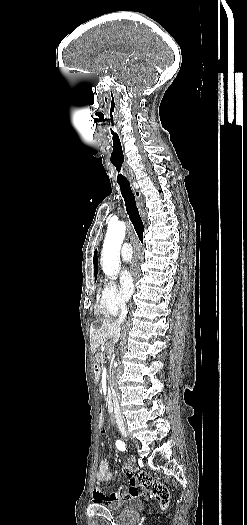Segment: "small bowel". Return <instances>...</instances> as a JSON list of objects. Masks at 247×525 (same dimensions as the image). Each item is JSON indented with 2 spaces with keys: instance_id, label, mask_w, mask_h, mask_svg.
Masks as SVG:
<instances>
[{
  "instance_id": "1",
  "label": "small bowel",
  "mask_w": 247,
  "mask_h": 525,
  "mask_svg": "<svg viewBox=\"0 0 247 525\" xmlns=\"http://www.w3.org/2000/svg\"><path fill=\"white\" fill-rule=\"evenodd\" d=\"M104 430V428H101ZM122 474H129V469H122ZM113 478L112 473L109 471V460L104 458L100 461L98 472L96 474L97 489L94 491V501L97 506H118L120 499H124L125 496L120 493L106 494L100 489V485L111 481ZM129 479L131 484L128 487L129 494L132 497H136L139 494V488L142 487L143 482L149 492L154 493L155 501L159 508H164L169 505L171 500L169 489L162 487L158 481L150 480L151 476L149 473L144 472H133L130 474ZM124 490V487H121ZM169 510V507H166Z\"/></svg>"
}]
</instances>
